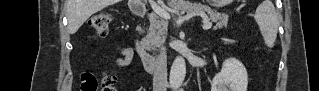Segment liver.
Here are the masks:
<instances>
[{"label":"liver","instance_id":"obj_1","mask_svg":"<svg viewBox=\"0 0 319 91\" xmlns=\"http://www.w3.org/2000/svg\"><path fill=\"white\" fill-rule=\"evenodd\" d=\"M116 2L118 0H67L70 32L75 33L90 16Z\"/></svg>","mask_w":319,"mask_h":91}]
</instances>
